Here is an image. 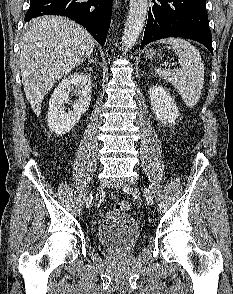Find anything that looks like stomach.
Returning a JSON list of instances; mask_svg holds the SVG:
<instances>
[{
	"mask_svg": "<svg viewBox=\"0 0 233 294\" xmlns=\"http://www.w3.org/2000/svg\"><path fill=\"white\" fill-rule=\"evenodd\" d=\"M156 54V51L152 50V49H149L145 52V56L146 58H153Z\"/></svg>",
	"mask_w": 233,
	"mask_h": 294,
	"instance_id": "0dacf381",
	"label": "stomach"
}]
</instances>
